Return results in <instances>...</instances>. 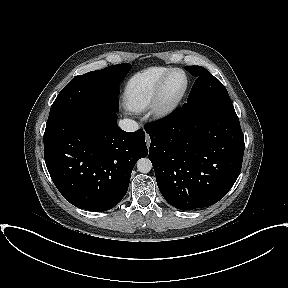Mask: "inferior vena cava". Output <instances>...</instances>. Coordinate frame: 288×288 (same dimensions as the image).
Instances as JSON below:
<instances>
[{"label": "inferior vena cava", "mask_w": 288, "mask_h": 288, "mask_svg": "<svg viewBox=\"0 0 288 288\" xmlns=\"http://www.w3.org/2000/svg\"><path fill=\"white\" fill-rule=\"evenodd\" d=\"M119 127L126 132H134L139 129L138 123L131 119H122L118 123Z\"/></svg>", "instance_id": "obj_1"}]
</instances>
